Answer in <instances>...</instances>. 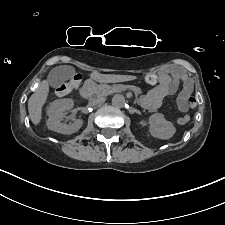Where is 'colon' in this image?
<instances>
[{
    "label": "colon",
    "instance_id": "5ec220e1",
    "mask_svg": "<svg viewBox=\"0 0 225 225\" xmlns=\"http://www.w3.org/2000/svg\"><path fill=\"white\" fill-rule=\"evenodd\" d=\"M160 78L156 73H150L147 74L144 77V81L150 85H154L157 84L159 82ZM80 83V78L78 76L73 77V79L67 83V84H62L59 88H58V93L61 95H65L68 94L69 92H71L73 89L77 88L78 85ZM197 106V102L196 99L194 97H190L188 100V107L190 109H195ZM183 124L187 123L188 121L186 119L182 120Z\"/></svg>",
    "mask_w": 225,
    "mask_h": 225
}]
</instances>
